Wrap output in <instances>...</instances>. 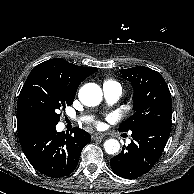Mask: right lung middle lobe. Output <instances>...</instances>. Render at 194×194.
<instances>
[{"mask_svg":"<svg viewBox=\"0 0 194 194\" xmlns=\"http://www.w3.org/2000/svg\"><path fill=\"white\" fill-rule=\"evenodd\" d=\"M75 94L68 91L48 72H30L18 97L17 111L33 125L55 126L58 110L73 103Z\"/></svg>","mask_w":194,"mask_h":194,"instance_id":"1","label":"right lung middle lobe"}]
</instances>
